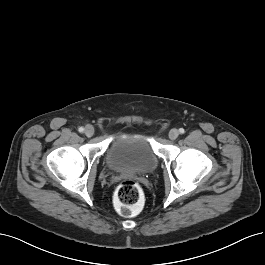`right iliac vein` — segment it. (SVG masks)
<instances>
[{"instance_id":"1","label":"right iliac vein","mask_w":265,"mask_h":265,"mask_svg":"<svg viewBox=\"0 0 265 265\" xmlns=\"http://www.w3.org/2000/svg\"><path fill=\"white\" fill-rule=\"evenodd\" d=\"M84 133H85V135H86L87 137H91V136H93V134H94V128H93V126H91V125H87V126L85 127Z\"/></svg>"}]
</instances>
